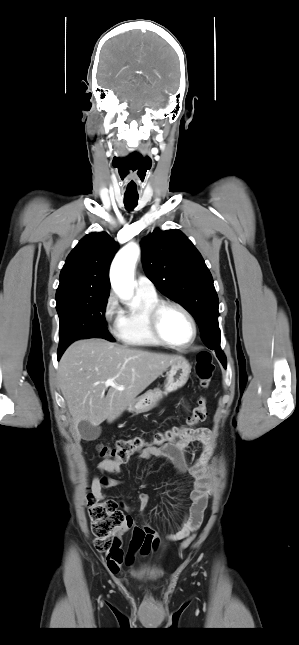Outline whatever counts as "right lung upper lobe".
<instances>
[{
	"mask_svg": "<svg viewBox=\"0 0 299 645\" xmlns=\"http://www.w3.org/2000/svg\"><path fill=\"white\" fill-rule=\"evenodd\" d=\"M118 243L107 233L85 236L67 257L60 273L56 302L78 296L109 294L108 276Z\"/></svg>",
	"mask_w": 299,
	"mask_h": 645,
	"instance_id": "cb5924a9",
	"label": "right lung upper lobe"
}]
</instances>
